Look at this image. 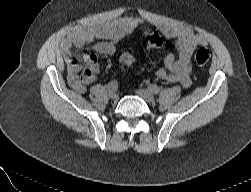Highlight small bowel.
<instances>
[{
    "label": "small bowel",
    "instance_id": "small-bowel-1",
    "mask_svg": "<svg viewBox=\"0 0 251 192\" xmlns=\"http://www.w3.org/2000/svg\"><path fill=\"white\" fill-rule=\"evenodd\" d=\"M137 20L132 17H124L113 23H105L95 27L75 30L67 35L62 42V52L68 65V83L78 93H85L87 85L92 83L99 71V65L95 54L86 53L83 56L85 64L81 72V64L72 53L73 46H84L98 40L94 50L107 55L116 52V43L124 40L134 30ZM160 32L166 38L175 40L176 53L168 54L164 59V67L156 71V76L169 83H180L187 88L191 85V58L194 50L206 44L203 36L189 27L162 25Z\"/></svg>",
    "mask_w": 251,
    "mask_h": 192
}]
</instances>
